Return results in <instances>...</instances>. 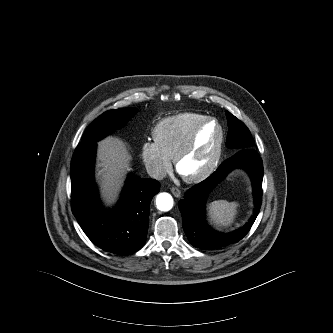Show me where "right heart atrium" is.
I'll use <instances>...</instances> for the list:
<instances>
[{
	"label": "right heart atrium",
	"mask_w": 333,
	"mask_h": 333,
	"mask_svg": "<svg viewBox=\"0 0 333 333\" xmlns=\"http://www.w3.org/2000/svg\"><path fill=\"white\" fill-rule=\"evenodd\" d=\"M141 157L149 174L156 179L163 178L172 168L171 159L152 141L142 144Z\"/></svg>",
	"instance_id": "obj_1"
}]
</instances>
